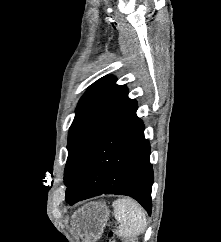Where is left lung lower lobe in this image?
<instances>
[{"label":"left lung lower lobe","mask_w":221,"mask_h":242,"mask_svg":"<svg viewBox=\"0 0 221 242\" xmlns=\"http://www.w3.org/2000/svg\"><path fill=\"white\" fill-rule=\"evenodd\" d=\"M137 106L89 151L66 189L70 205L101 194L128 195L151 214L153 169L150 144Z\"/></svg>","instance_id":"obj_1"}]
</instances>
